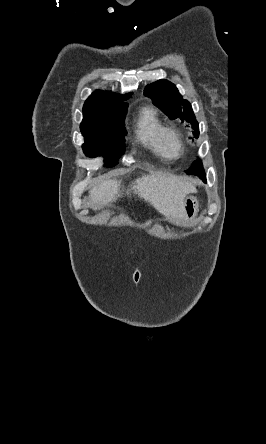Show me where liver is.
Returning a JSON list of instances; mask_svg holds the SVG:
<instances>
[{
	"label": "liver",
	"instance_id": "6515ba94",
	"mask_svg": "<svg viewBox=\"0 0 266 444\" xmlns=\"http://www.w3.org/2000/svg\"><path fill=\"white\" fill-rule=\"evenodd\" d=\"M127 190V195L133 191L138 197L149 202L166 218L178 221L184 219L183 202L187 194L195 192L194 185L182 176L161 173L143 175L137 178ZM121 180H106L97 184L89 191L90 206L97 209L117 200L122 196Z\"/></svg>",
	"mask_w": 266,
	"mask_h": 444
}]
</instances>
